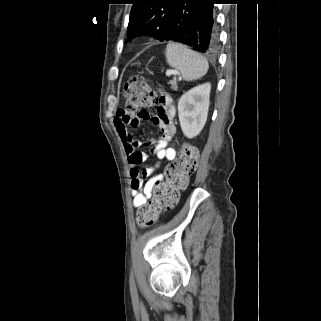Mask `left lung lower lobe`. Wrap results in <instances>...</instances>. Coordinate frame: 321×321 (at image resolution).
<instances>
[{"label":"left lung lower lobe","instance_id":"left-lung-lower-lobe-1","mask_svg":"<svg viewBox=\"0 0 321 321\" xmlns=\"http://www.w3.org/2000/svg\"><path fill=\"white\" fill-rule=\"evenodd\" d=\"M218 0H178L166 25L163 41H175L207 54L218 43L213 14Z\"/></svg>","mask_w":321,"mask_h":321}]
</instances>
